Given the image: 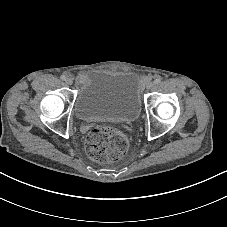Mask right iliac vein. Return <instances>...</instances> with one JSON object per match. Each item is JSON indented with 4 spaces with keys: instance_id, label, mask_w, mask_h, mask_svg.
Masks as SVG:
<instances>
[{
    "instance_id": "right-iliac-vein-1",
    "label": "right iliac vein",
    "mask_w": 227,
    "mask_h": 227,
    "mask_svg": "<svg viewBox=\"0 0 227 227\" xmlns=\"http://www.w3.org/2000/svg\"><path fill=\"white\" fill-rule=\"evenodd\" d=\"M65 82H66V84L69 85V86L72 85V83H73V81H72L71 78L66 79Z\"/></svg>"
}]
</instances>
